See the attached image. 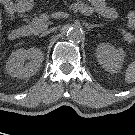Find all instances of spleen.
Listing matches in <instances>:
<instances>
[{"label": "spleen", "instance_id": "1", "mask_svg": "<svg viewBox=\"0 0 135 135\" xmlns=\"http://www.w3.org/2000/svg\"><path fill=\"white\" fill-rule=\"evenodd\" d=\"M135 82V61L132 62L125 71V83L132 84Z\"/></svg>", "mask_w": 135, "mask_h": 135}]
</instances>
